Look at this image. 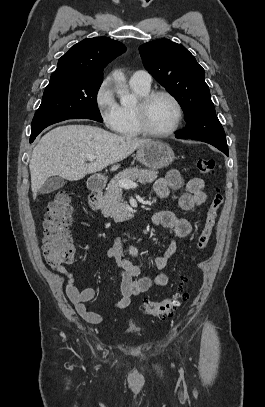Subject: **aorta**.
<instances>
[{"mask_svg": "<svg viewBox=\"0 0 265 407\" xmlns=\"http://www.w3.org/2000/svg\"><path fill=\"white\" fill-rule=\"evenodd\" d=\"M113 77L117 87V95L120 98V103L124 106L135 103V97L123 90V82L125 77L121 71H114Z\"/></svg>", "mask_w": 265, "mask_h": 407, "instance_id": "762f6f07", "label": "aorta"}]
</instances>
